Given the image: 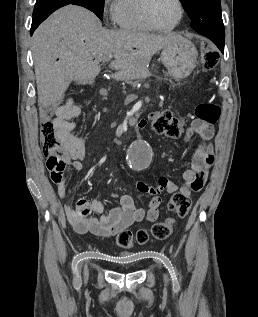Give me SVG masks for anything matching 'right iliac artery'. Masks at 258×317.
I'll list each match as a JSON object with an SVG mask.
<instances>
[{
  "label": "right iliac artery",
  "mask_w": 258,
  "mask_h": 317,
  "mask_svg": "<svg viewBox=\"0 0 258 317\" xmlns=\"http://www.w3.org/2000/svg\"><path fill=\"white\" fill-rule=\"evenodd\" d=\"M73 287H74L77 291H79L80 288H81V281H78V280L74 279V280H73Z\"/></svg>",
  "instance_id": "82829eb1"
}]
</instances>
